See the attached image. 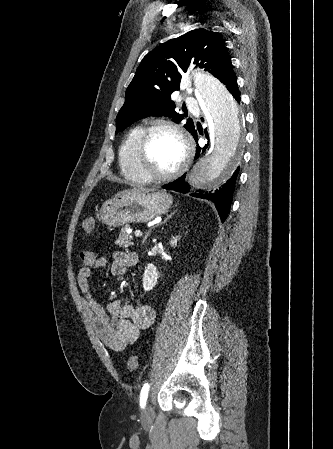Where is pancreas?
I'll return each mask as SVG.
<instances>
[{
	"label": "pancreas",
	"instance_id": "1",
	"mask_svg": "<svg viewBox=\"0 0 333 449\" xmlns=\"http://www.w3.org/2000/svg\"><path fill=\"white\" fill-rule=\"evenodd\" d=\"M127 228H123L121 231V234L118 238V240L116 241V244L119 246H124V247H128L131 246L132 240H133V236L129 233L126 232Z\"/></svg>",
	"mask_w": 333,
	"mask_h": 449
}]
</instances>
